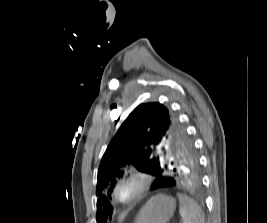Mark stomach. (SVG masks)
Here are the masks:
<instances>
[{"label": "stomach", "mask_w": 267, "mask_h": 223, "mask_svg": "<svg viewBox=\"0 0 267 223\" xmlns=\"http://www.w3.org/2000/svg\"><path fill=\"white\" fill-rule=\"evenodd\" d=\"M176 209V200L159 194L152 197L140 209L135 223H168Z\"/></svg>", "instance_id": "stomach-1"}]
</instances>
